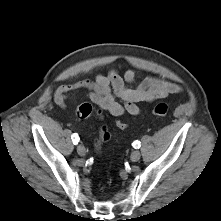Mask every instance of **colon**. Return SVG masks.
<instances>
[{"mask_svg": "<svg viewBox=\"0 0 221 221\" xmlns=\"http://www.w3.org/2000/svg\"><path fill=\"white\" fill-rule=\"evenodd\" d=\"M168 112H169V107L165 103H159V104L155 105L152 109V114L156 117H159V118L166 117L168 115ZM94 113H96L97 115L101 114V112L96 111L91 104L84 103V104H81L80 106L77 107V109L75 111V116L78 119H86V118L92 116ZM113 125H114V127L120 128V129H125L127 127V124L122 122L119 119L114 120ZM109 139H110L109 130L105 126L101 127V129L99 131V136L95 141L96 149H99V147L102 145V143L108 141Z\"/></svg>", "mask_w": 221, "mask_h": 221, "instance_id": "colon-1", "label": "colon"}]
</instances>
